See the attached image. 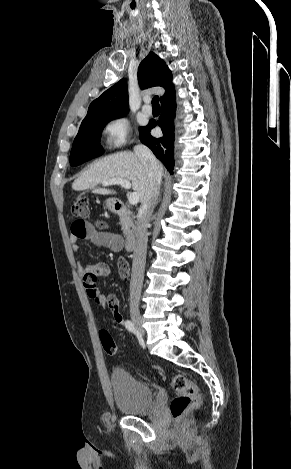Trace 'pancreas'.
I'll list each match as a JSON object with an SVG mask.
<instances>
[{
  "label": "pancreas",
  "mask_w": 291,
  "mask_h": 469,
  "mask_svg": "<svg viewBox=\"0 0 291 469\" xmlns=\"http://www.w3.org/2000/svg\"><path fill=\"white\" fill-rule=\"evenodd\" d=\"M120 224H121V229L123 231V234L125 236L129 237L133 234L132 222L129 219L127 214L120 216Z\"/></svg>",
  "instance_id": "obj_1"
}]
</instances>
